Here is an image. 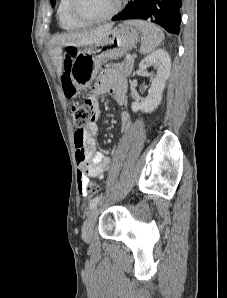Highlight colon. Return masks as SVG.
Masks as SVG:
<instances>
[{
    "label": "colon",
    "mask_w": 227,
    "mask_h": 298,
    "mask_svg": "<svg viewBox=\"0 0 227 298\" xmlns=\"http://www.w3.org/2000/svg\"><path fill=\"white\" fill-rule=\"evenodd\" d=\"M75 48L67 47L66 48V58L64 61V66L67 69L71 66V59L75 56ZM63 89L68 97H73L76 94V88L69 76L68 73H65L62 77ZM93 103H83V100L80 102H75L72 105V121L76 127L75 132V147L76 155L80 160L85 159V138L84 131L92 123L90 122V117H96V115H88L86 105ZM77 178H86V173H77ZM80 192L85 194H96L99 192V186L94 183H89L85 181L79 182Z\"/></svg>",
    "instance_id": "colon-1"
}]
</instances>
